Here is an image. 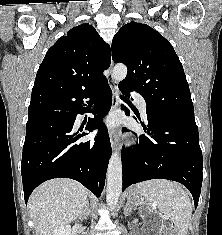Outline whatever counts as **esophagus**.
Wrapping results in <instances>:
<instances>
[{
    "instance_id": "1",
    "label": "esophagus",
    "mask_w": 222,
    "mask_h": 235,
    "mask_svg": "<svg viewBox=\"0 0 222 235\" xmlns=\"http://www.w3.org/2000/svg\"><path fill=\"white\" fill-rule=\"evenodd\" d=\"M113 62L111 61L110 70H112ZM110 88L112 90V110H116L119 107V95H118V86L114 80L109 82ZM110 142L112 148L115 150L118 147V133L116 129L111 128L109 132Z\"/></svg>"
}]
</instances>
